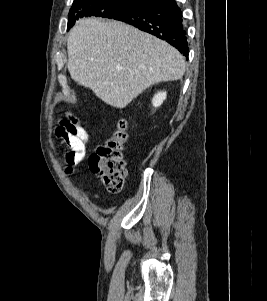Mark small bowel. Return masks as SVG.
<instances>
[{"instance_id":"obj_1","label":"small bowel","mask_w":267,"mask_h":301,"mask_svg":"<svg viewBox=\"0 0 267 301\" xmlns=\"http://www.w3.org/2000/svg\"><path fill=\"white\" fill-rule=\"evenodd\" d=\"M56 135L68 147L69 151L65 156L66 173L71 174L74 167L80 163L86 150V144L89 141V134L87 130L80 124L74 116H69L56 129ZM87 197L99 199V194L95 192H85Z\"/></svg>"}]
</instances>
